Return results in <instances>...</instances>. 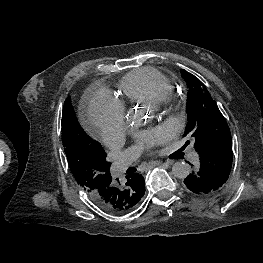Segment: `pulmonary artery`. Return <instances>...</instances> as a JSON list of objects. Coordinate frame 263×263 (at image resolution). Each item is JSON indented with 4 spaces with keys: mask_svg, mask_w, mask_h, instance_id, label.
<instances>
[{
    "mask_svg": "<svg viewBox=\"0 0 263 263\" xmlns=\"http://www.w3.org/2000/svg\"><path fill=\"white\" fill-rule=\"evenodd\" d=\"M138 153L134 150L126 151L121 154L115 161L113 166V172L115 176L121 175L129 165L136 159ZM188 158L191 162H196L198 160V154L196 151H190Z\"/></svg>",
    "mask_w": 263,
    "mask_h": 263,
    "instance_id": "obj_1",
    "label": "pulmonary artery"
}]
</instances>
